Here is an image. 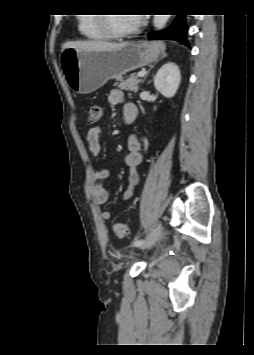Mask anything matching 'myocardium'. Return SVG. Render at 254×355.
Segmentation results:
<instances>
[{"instance_id":"myocardium-1","label":"myocardium","mask_w":254,"mask_h":355,"mask_svg":"<svg viewBox=\"0 0 254 355\" xmlns=\"http://www.w3.org/2000/svg\"><path fill=\"white\" fill-rule=\"evenodd\" d=\"M110 14H100L98 16V26L101 32L109 39H124L133 36L139 30V26L136 25L134 28L130 30H126L123 32H115L111 29L109 24V16Z\"/></svg>"}]
</instances>
